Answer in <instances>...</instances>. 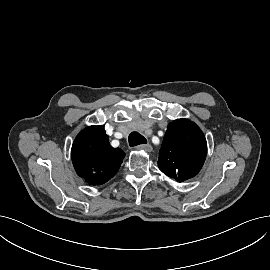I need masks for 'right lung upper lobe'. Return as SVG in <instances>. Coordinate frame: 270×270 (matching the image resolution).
<instances>
[{
    "label": "right lung upper lobe",
    "mask_w": 270,
    "mask_h": 270,
    "mask_svg": "<svg viewBox=\"0 0 270 270\" xmlns=\"http://www.w3.org/2000/svg\"><path fill=\"white\" fill-rule=\"evenodd\" d=\"M103 126H90L74 140L71 158L76 173L91 185L104 184L119 170L125 153L113 148Z\"/></svg>",
    "instance_id": "1"
}]
</instances>
